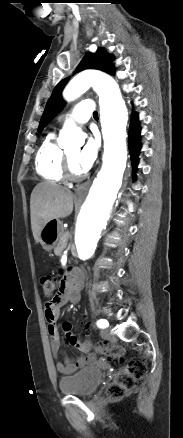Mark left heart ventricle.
Masks as SVG:
<instances>
[{
  "mask_svg": "<svg viewBox=\"0 0 183 438\" xmlns=\"http://www.w3.org/2000/svg\"><path fill=\"white\" fill-rule=\"evenodd\" d=\"M78 154H79V149H75V150H71V151L67 152V156L69 157V159L71 161L72 169L76 173H82V171L79 169V167L76 164V159H77Z\"/></svg>",
  "mask_w": 183,
  "mask_h": 438,
  "instance_id": "1",
  "label": "left heart ventricle"
}]
</instances>
